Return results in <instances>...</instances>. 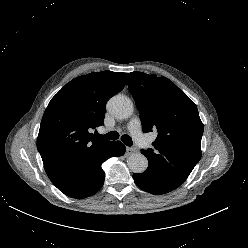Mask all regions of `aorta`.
Listing matches in <instances>:
<instances>
[{
	"label": "aorta",
	"instance_id": "1",
	"mask_svg": "<svg viewBox=\"0 0 248 248\" xmlns=\"http://www.w3.org/2000/svg\"><path fill=\"white\" fill-rule=\"evenodd\" d=\"M107 107L109 112L118 119L130 118L134 110L133 102L124 95L112 97ZM127 164L133 173H143L148 167V160L143 154L134 153L128 157Z\"/></svg>",
	"mask_w": 248,
	"mask_h": 248
}]
</instances>
